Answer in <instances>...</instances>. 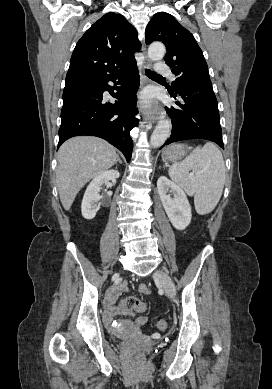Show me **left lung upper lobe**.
<instances>
[{
	"instance_id": "left-lung-upper-lobe-1",
	"label": "left lung upper lobe",
	"mask_w": 272,
	"mask_h": 389,
	"mask_svg": "<svg viewBox=\"0 0 272 389\" xmlns=\"http://www.w3.org/2000/svg\"><path fill=\"white\" fill-rule=\"evenodd\" d=\"M146 44L162 41L165 62L177 76L174 90L183 82L210 81L208 66L194 36L168 13L155 14L146 27Z\"/></svg>"
}]
</instances>
